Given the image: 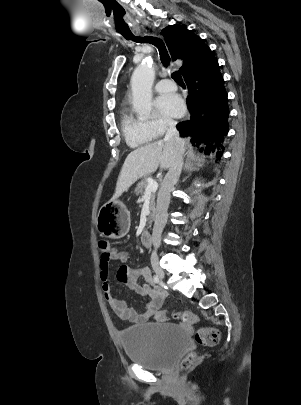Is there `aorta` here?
<instances>
[{
  "instance_id": "762f6f07",
  "label": "aorta",
  "mask_w": 301,
  "mask_h": 405,
  "mask_svg": "<svg viewBox=\"0 0 301 405\" xmlns=\"http://www.w3.org/2000/svg\"><path fill=\"white\" fill-rule=\"evenodd\" d=\"M154 78L155 71L148 60H144L138 65L131 77L133 108L143 117H147L151 113Z\"/></svg>"
}]
</instances>
